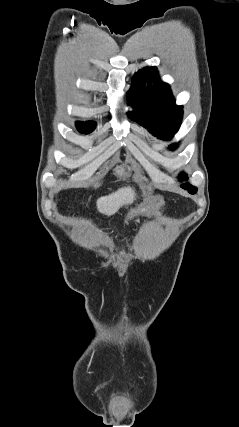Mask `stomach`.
I'll use <instances>...</instances> for the list:
<instances>
[{"label":"stomach","mask_w":239,"mask_h":427,"mask_svg":"<svg viewBox=\"0 0 239 427\" xmlns=\"http://www.w3.org/2000/svg\"><path fill=\"white\" fill-rule=\"evenodd\" d=\"M151 212L150 210V206L147 205H142L140 206L136 211H132L130 214V218L139 215V214H144V215H149Z\"/></svg>","instance_id":"1"}]
</instances>
